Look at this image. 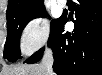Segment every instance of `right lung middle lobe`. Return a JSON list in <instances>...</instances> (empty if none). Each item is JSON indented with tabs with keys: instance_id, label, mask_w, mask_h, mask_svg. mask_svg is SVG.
<instances>
[{
	"instance_id": "obj_1",
	"label": "right lung middle lobe",
	"mask_w": 102,
	"mask_h": 75,
	"mask_svg": "<svg viewBox=\"0 0 102 75\" xmlns=\"http://www.w3.org/2000/svg\"><path fill=\"white\" fill-rule=\"evenodd\" d=\"M45 7H41L35 10L21 12L7 16V39L4 46L3 57L10 62H15L20 56L19 41L22 30L26 24L34 18L45 17ZM57 19H53L51 22V28L55 24Z\"/></svg>"
}]
</instances>
